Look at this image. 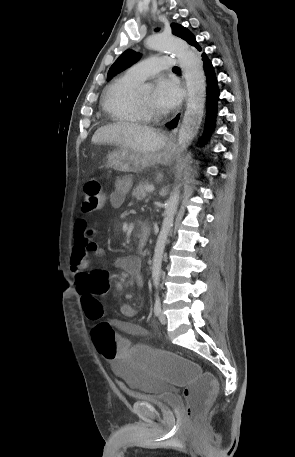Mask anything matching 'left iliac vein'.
<instances>
[{
    "mask_svg": "<svg viewBox=\"0 0 295 457\" xmlns=\"http://www.w3.org/2000/svg\"><path fill=\"white\" fill-rule=\"evenodd\" d=\"M159 321L161 322V324L167 323V318L163 312H160V314H159Z\"/></svg>",
    "mask_w": 295,
    "mask_h": 457,
    "instance_id": "left-iliac-vein-1",
    "label": "left iliac vein"
}]
</instances>
